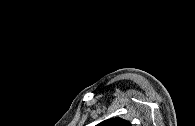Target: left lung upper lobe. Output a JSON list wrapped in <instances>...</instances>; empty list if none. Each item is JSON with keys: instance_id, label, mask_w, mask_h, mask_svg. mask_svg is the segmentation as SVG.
I'll list each match as a JSON object with an SVG mask.
<instances>
[{"instance_id": "5c2ea615", "label": "left lung upper lobe", "mask_w": 195, "mask_h": 126, "mask_svg": "<svg viewBox=\"0 0 195 126\" xmlns=\"http://www.w3.org/2000/svg\"><path fill=\"white\" fill-rule=\"evenodd\" d=\"M97 126H131L129 121L123 120L121 118L108 119Z\"/></svg>"}]
</instances>
